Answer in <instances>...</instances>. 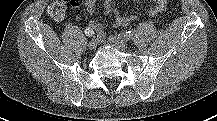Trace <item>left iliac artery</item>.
<instances>
[{"label":"left iliac artery","instance_id":"obj_1","mask_svg":"<svg viewBox=\"0 0 217 121\" xmlns=\"http://www.w3.org/2000/svg\"><path fill=\"white\" fill-rule=\"evenodd\" d=\"M133 34V30H128L126 32L120 33L119 36L122 37L124 40L128 41L132 38Z\"/></svg>","mask_w":217,"mask_h":121}]
</instances>
